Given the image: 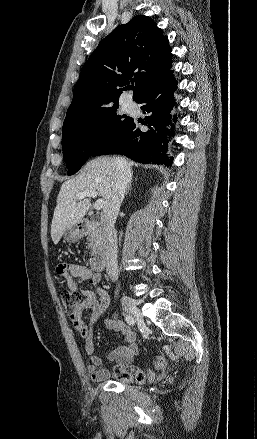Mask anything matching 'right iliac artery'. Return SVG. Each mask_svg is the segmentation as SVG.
I'll use <instances>...</instances> for the list:
<instances>
[{
    "label": "right iliac artery",
    "mask_w": 257,
    "mask_h": 439,
    "mask_svg": "<svg viewBox=\"0 0 257 439\" xmlns=\"http://www.w3.org/2000/svg\"><path fill=\"white\" fill-rule=\"evenodd\" d=\"M125 320L129 325H134V323H135L134 318L130 315H126Z\"/></svg>",
    "instance_id": "82829eb1"
}]
</instances>
